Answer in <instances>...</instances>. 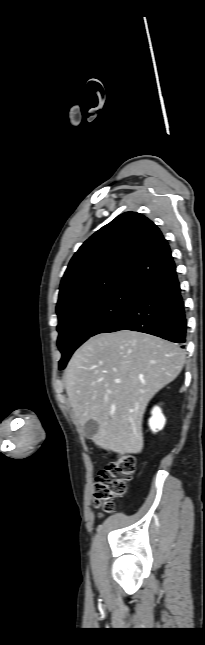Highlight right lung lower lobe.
<instances>
[{
  "label": "right lung lower lobe",
  "instance_id": "98d812e1",
  "mask_svg": "<svg viewBox=\"0 0 205 645\" xmlns=\"http://www.w3.org/2000/svg\"><path fill=\"white\" fill-rule=\"evenodd\" d=\"M120 330L143 332L180 344L186 342L187 320L175 264L143 282L133 305L101 333Z\"/></svg>",
  "mask_w": 205,
  "mask_h": 645
}]
</instances>
